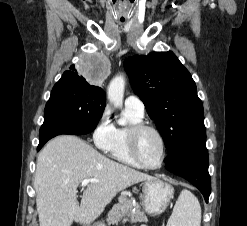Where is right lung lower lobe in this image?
<instances>
[{"label": "right lung lower lobe", "instance_id": "98d812e1", "mask_svg": "<svg viewBox=\"0 0 247 226\" xmlns=\"http://www.w3.org/2000/svg\"><path fill=\"white\" fill-rule=\"evenodd\" d=\"M91 131H92L91 127H77L60 122L43 124L42 127L40 128V142L38 145V151L49 139L57 135L60 134L83 135Z\"/></svg>", "mask_w": 247, "mask_h": 226}]
</instances>
